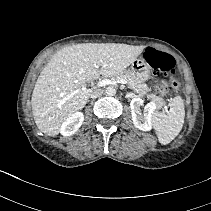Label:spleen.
I'll list each match as a JSON object with an SVG mask.
<instances>
[{
    "label": "spleen",
    "mask_w": 211,
    "mask_h": 211,
    "mask_svg": "<svg viewBox=\"0 0 211 211\" xmlns=\"http://www.w3.org/2000/svg\"><path fill=\"white\" fill-rule=\"evenodd\" d=\"M184 117V102L179 95L173 98L168 112L152 114L151 123L162 145L170 143L178 136L184 124Z\"/></svg>",
    "instance_id": "obj_1"
}]
</instances>
